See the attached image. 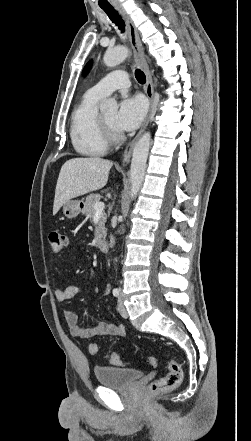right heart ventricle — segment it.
<instances>
[{
  "instance_id": "obj_1",
  "label": "right heart ventricle",
  "mask_w": 251,
  "mask_h": 441,
  "mask_svg": "<svg viewBox=\"0 0 251 441\" xmlns=\"http://www.w3.org/2000/svg\"><path fill=\"white\" fill-rule=\"evenodd\" d=\"M102 98L89 89L72 113L70 137L74 149L82 156H100L108 150L99 123L98 104Z\"/></svg>"
}]
</instances>
